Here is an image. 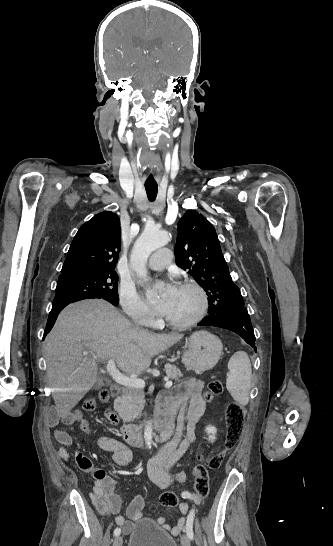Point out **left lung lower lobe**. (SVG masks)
<instances>
[{
  "label": "left lung lower lobe",
  "mask_w": 333,
  "mask_h": 546,
  "mask_svg": "<svg viewBox=\"0 0 333 546\" xmlns=\"http://www.w3.org/2000/svg\"><path fill=\"white\" fill-rule=\"evenodd\" d=\"M199 326H215L228 329L240 335L249 345L255 347V335L247 309L228 311L225 315H208Z\"/></svg>",
  "instance_id": "1"
}]
</instances>
